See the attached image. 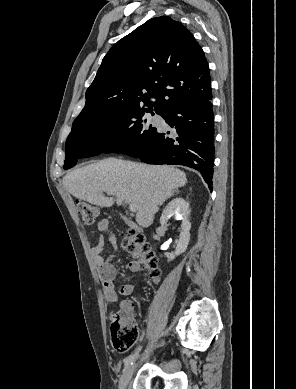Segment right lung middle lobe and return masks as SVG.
<instances>
[{"label":"right lung middle lobe","instance_id":"dd1d6c3e","mask_svg":"<svg viewBox=\"0 0 296 389\" xmlns=\"http://www.w3.org/2000/svg\"><path fill=\"white\" fill-rule=\"evenodd\" d=\"M147 112L137 107H120L99 110L75 119L65 144L64 169L73 167L79 158L103 152L130 155L144 150L157 132L147 121ZM151 114L154 115L153 112ZM160 115L163 117V114ZM112 129L116 131L112 132Z\"/></svg>","mask_w":296,"mask_h":389}]
</instances>
